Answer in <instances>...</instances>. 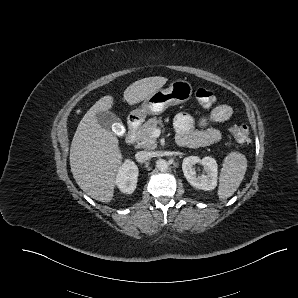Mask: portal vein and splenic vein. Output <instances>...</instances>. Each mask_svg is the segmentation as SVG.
<instances>
[{
	"mask_svg": "<svg viewBox=\"0 0 298 298\" xmlns=\"http://www.w3.org/2000/svg\"><path fill=\"white\" fill-rule=\"evenodd\" d=\"M161 134H162V130H161L159 127H155V128H153V130H152V132H151V135H152V137H154V138L159 137Z\"/></svg>",
	"mask_w": 298,
	"mask_h": 298,
	"instance_id": "18ae733b",
	"label": "portal vein and splenic vein"
}]
</instances>
